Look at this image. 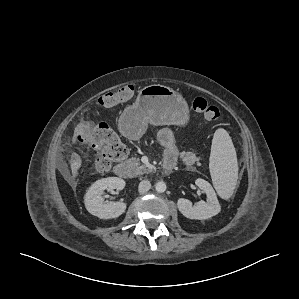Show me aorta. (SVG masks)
<instances>
[{
  "instance_id": "1",
  "label": "aorta",
  "mask_w": 299,
  "mask_h": 299,
  "mask_svg": "<svg viewBox=\"0 0 299 299\" xmlns=\"http://www.w3.org/2000/svg\"><path fill=\"white\" fill-rule=\"evenodd\" d=\"M166 184L163 182V181H160V182H157L156 183V186H155V189L157 192L159 193H163L166 191Z\"/></svg>"
}]
</instances>
